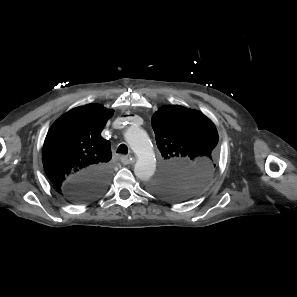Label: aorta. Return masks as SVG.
Returning <instances> with one entry per match:
<instances>
[{
	"label": "aorta",
	"instance_id": "762f6f07",
	"mask_svg": "<svg viewBox=\"0 0 297 297\" xmlns=\"http://www.w3.org/2000/svg\"><path fill=\"white\" fill-rule=\"evenodd\" d=\"M125 140L136 155L135 176L143 181L150 180L156 170V159L146 131L132 126L126 131Z\"/></svg>",
	"mask_w": 297,
	"mask_h": 297
}]
</instances>
